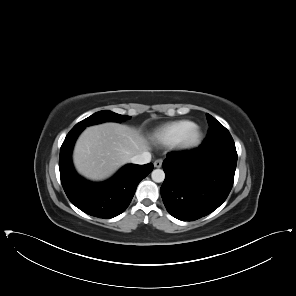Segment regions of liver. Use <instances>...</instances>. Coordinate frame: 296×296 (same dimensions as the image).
<instances>
[{
	"label": "liver",
	"mask_w": 296,
	"mask_h": 296,
	"mask_svg": "<svg viewBox=\"0 0 296 296\" xmlns=\"http://www.w3.org/2000/svg\"><path fill=\"white\" fill-rule=\"evenodd\" d=\"M148 149L138 130L119 123L86 128L78 138L73 160L77 171L91 180H103L130 159Z\"/></svg>",
	"instance_id": "6515ba94"
}]
</instances>
